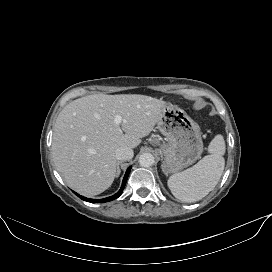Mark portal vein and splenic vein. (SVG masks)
Segmentation results:
<instances>
[{
  "label": "portal vein and splenic vein",
  "mask_w": 272,
  "mask_h": 272,
  "mask_svg": "<svg viewBox=\"0 0 272 272\" xmlns=\"http://www.w3.org/2000/svg\"><path fill=\"white\" fill-rule=\"evenodd\" d=\"M121 121H122L121 116L117 115V116L115 117V123H116V124H120Z\"/></svg>",
  "instance_id": "18ae733b"
}]
</instances>
